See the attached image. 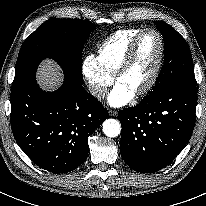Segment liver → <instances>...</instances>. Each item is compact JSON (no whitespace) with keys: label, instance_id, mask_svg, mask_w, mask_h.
<instances>
[{"label":"liver","instance_id":"1","mask_svg":"<svg viewBox=\"0 0 206 206\" xmlns=\"http://www.w3.org/2000/svg\"><path fill=\"white\" fill-rule=\"evenodd\" d=\"M36 75L39 84L45 90H55L63 81V75L59 66L49 59L41 63Z\"/></svg>","mask_w":206,"mask_h":206}]
</instances>
